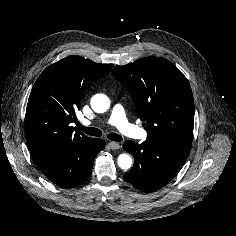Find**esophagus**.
<instances>
[{
	"mask_svg": "<svg viewBox=\"0 0 236 236\" xmlns=\"http://www.w3.org/2000/svg\"><path fill=\"white\" fill-rule=\"evenodd\" d=\"M108 145H109L110 149H112V150H117L120 148V144L117 142H109Z\"/></svg>",
	"mask_w": 236,
	"mask_h": 236,
	"instance_id": "34e87169",
	"label": "esophagus"
}]
</instances>
